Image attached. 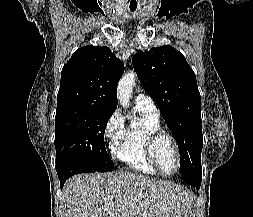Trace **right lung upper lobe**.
<instances>
[{
  "label": "right lung upper lobe",
  "instance_id": "obj_1",
  "mask_svg": "<svg viewBox=\"0 0 253 217\" xmlns=\"http://www.w3.org/2000/svg\"><path fill=\"white\" fill-rule=\"evenodd\" d=\"M123 72V63L106 46L76 50L62 69L57 107L80 105L114 112Z\"/></svg>",
  "mask_w": 253,
  "mask_h": 217
}]
</instances>
